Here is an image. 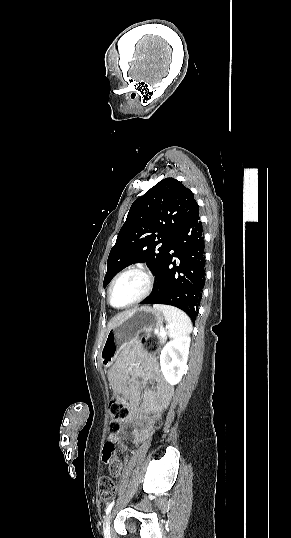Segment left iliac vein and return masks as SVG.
<instances>
[{
  "label": "left iliac vein",
  "mask_w": 291,
  "mask_h": 538,
  "mask_svg": "<svg viewBox=\"0 0 291 538\" xmlns=\"http://www.w3.org/2000/svg\"><path fill=\"white\" fill-rule=\"evenodd\" d=\"M110 518L111 516H108L104 522L103 530L105 538H110Z\"/></svg>",
  "instance_id": "4c4485c4"
}]
</instances>
